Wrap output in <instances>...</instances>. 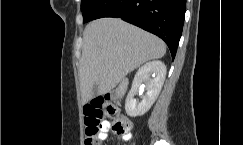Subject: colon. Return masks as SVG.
Instances as JSON below:
<instances>
[{"label":"colon","mask_w":243,"mask_h":145,"mask_svg":"<svg viewBox=\"0 0 243 145\" xmlns=\"http://www.w3.org/2000/svg\"><path fill=\"white\" fill-rule=\"evenodd\" d=\"M85 145H99L97 136L101 130L102 119L105 116L115 117L118 114L117 108L107 99L98 98L87 104L84 109ZM130 128L126 118L119 117L114 121L112 129L115 133L121 134Z\"/></svg>","instance_id":"colon-1"}]
</instances>
